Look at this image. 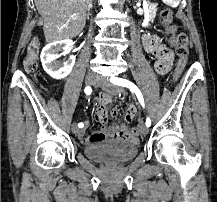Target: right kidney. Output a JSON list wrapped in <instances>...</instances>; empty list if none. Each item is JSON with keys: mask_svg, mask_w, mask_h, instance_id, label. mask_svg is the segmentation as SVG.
<instances>
[{"mask_svg": "<svg viewBox=\"0 0 217 202\" xmlns=\"http://www.w3.org/2000/svg\"><path fill=\"white\" fill-rule=\"evenodd\" d=\"M60 46H64L63 50H72L73 42L72 40H60V42H53V44H47L41 52V62L42 66L52 78L60 80V78H66L70 74L74 64L75 56H69L67 60L63 62H57ZM62 56V54H60Z\"/></svg>", "mask_w": 217, "mask_h": 202, "instance_id": "right-kidney-1", "label": "right kidney"}]
</instances>
